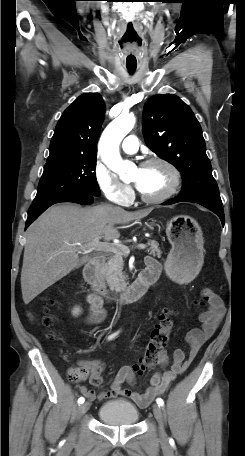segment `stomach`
Wrapping results in <instances>:
<instances>
[{
	"label": "stomach",
	"instance_id": "0dacf381",
	"mask_svg": "<svg viewBox=\"0 0 245 456\" xmlns=\"http://www.w3.org/2000/svg\"><path fill=\"white\" fill-rule=\"evenodd\" d=\"M166 235L172 246L165 268L177 283L191 281L203 264V233L198 222L188 215H177L166 226Z\"/></svg>",
	"mask_w": 245,
	"mask_h": 456
}]
</instances>
